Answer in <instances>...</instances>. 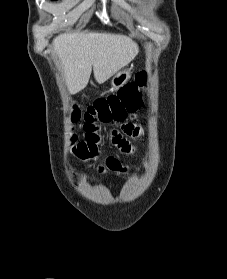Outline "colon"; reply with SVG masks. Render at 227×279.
Returning <instances> with one entry per match:
<instances>
[{
  "label": "colon",
  "mask_w": 227,
  "mask_h": 279,
  "mask_svg": "<svg viewBox=\"0 0 227 279\" xmlns=\"http://www.w3.org/2000/svg\"><path fill=\"white\" fill-rule=\"evenodd\" d=\"M147 73L141 71L138 74V83H142ZM136 86L131 85L121 92V96H110L108 98L97 99L89 105L81 115L78 109L73 112L74 122L83 119V140H78L73 133L72 140L76 155L85 160L94 158L98 154L99 146L102 144L100 135V125L110 122H123L135 114L140 107L139 101L135 98Z\"/></svg>",
  "instance_id": "1"
}]
</instances>
